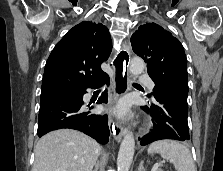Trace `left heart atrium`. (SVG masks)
<instances>
[{
	"label": "left heart atrium",
	"instance_id": "1",
	"mask_svg": "<svg viewBox=\"0 0 223 171\" xmlns=\"http://www.w3.org/2000/svg\"><path fill=\"white\" fill-rule=\"evenodd\" d=\"M112 112L115 116L123 119L128 114V106L125 102H120L112 109Z\"/></svg>",
	"mask_w": 223,
	"mask_h": 171
}]
</instances>
